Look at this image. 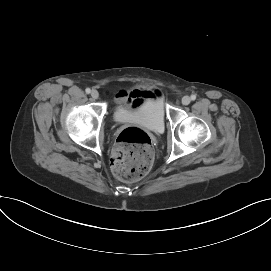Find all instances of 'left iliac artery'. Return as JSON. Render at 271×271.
<instances>
[{
  "label": "left iliac artery",
  "instance_id": "44dca946",
  "mask_svg": "<svg viewBox=\"0 0 271 271\" xmlns=\"http://www.w3.org/2000/svg\"><path fill=\"white\" fill-rule=\"evenodd\" d=\"M196 99V95L195 94H192L191 95V100H195Z\"/></svg>",
  "mask_w": 271,
  "mask_h": 271
}]
</instances>
